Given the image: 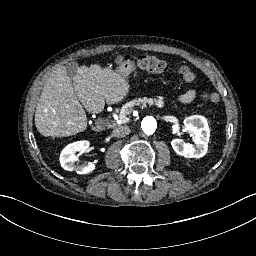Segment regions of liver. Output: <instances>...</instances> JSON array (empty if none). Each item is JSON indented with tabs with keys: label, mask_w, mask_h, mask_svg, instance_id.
<instances>
[{
	"label": "liver",
	"mask_w": 256,
	"mask_h": 256,
	"mask_svg": "<svg viewBox=\"0 0 256 256\" xmlns=\"http://www.w3.org/2000/svg\"><path fill=\"white\" fill-rule=\"evenodd\" d=\"M129 84L123 69L112 70L94 64L81 66L73 78L65 66L57 68L42 89L35 112V126L43 136L66 137L87 128L89 113L103 111L128 94Z\"/></svg>",
	"instance_id": "obj_1"
}]
</instances>
